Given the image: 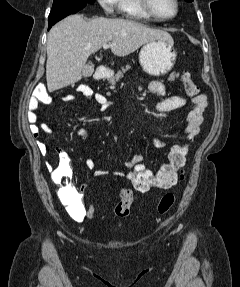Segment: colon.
<instances>
[{
    "label": "colon",
    "mask_w": 240,
    "mask_h": 287,
    "mask_svg": "<svg viewBox=\"0 0 240 287\" xmlns=\"http://www.w3.org/2000/svg\"><path fill=\"white\" fill-rule=\"evenodd\" d=\"M182 82L186 93L194 97L199 94V88L191 79L189 73L182 74ZM37 99L46 102L47 95L42 90H37ZM188 148L184 145H175L171 148L167 162L162 164L156 170L149 168L145 162L137 163L129 171V181L133 187L139 192H147L152 188L167 189L184 179V164ZM71 177V167L68 161L59 159L57 166L52 171V178L56 183L65 184L69 183ZM71 187L66 186L65 189ZM84 187L81 186L82 190ZM133 201V194L130 189L123 188L119 193V200L114 207L115 215L118 218H125L130 213V207ZM175 196L173 193L164 194L157 207L159 214H166L173 207ZM86 217L92 219L95 215V207L92 202L86 206Z\"/></svg>",
    "instance_id": "5ec220e1"
}]
</instances>
